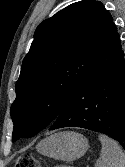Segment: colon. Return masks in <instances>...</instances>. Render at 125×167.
<instances>
[{"label":"colon","mask_w":125,"mask_h":167,"mask_svg":"<svg viewBox=\"0 0 125 167\" xmlns=\"http://www.w3.org/2000/svg\"><path fill=\"white\" fill-rule=\"evenodd\" d=\"M15 163V167H39L37 159L31 154L18 155Z\"/></svg>","instance_id":"5ec220e1"}]
</instances>
